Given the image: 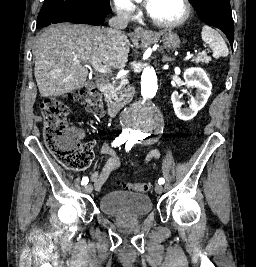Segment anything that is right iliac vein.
Returning a JSON list of instances; mask_svg holds the SVG:
<instances>
[{
  "label": "right iliac vein",
  "instance_id": "right-iliac-vein-1",
  "mask_svg": "<svg viewBox=\"0 0 256 267\" xmlns=\"http://www.w3.org/2000/svg\"><path fill=\"white\" fill-rule=\"evenodd\" d=\"M84 191L87 192V193H91L93 191V186L91 183L87 184L85 187H84Z\"/></svg>",
  "mask_w": 256,
  "mask_h": 267
}]
</instances>
